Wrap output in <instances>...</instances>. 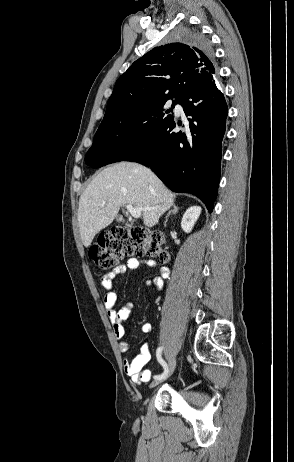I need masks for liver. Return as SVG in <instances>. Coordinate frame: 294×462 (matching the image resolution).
Returning <instances> with one entry per match:
<instances>
[{
	"instance_id": "liver-1",
	"label": "liver",
	"mask_w": 294,
	"mask_h": 462,
	"mask_svg": "<svg viewBox=\"0 0 294 462\" xmlns=\"http://www.w3.org/2000/svg\"><path fill=\"white\" fill-rule=\"evenodd\" d=\"M126 204L139 208L144 225L153 227L174 205V194L150 169L137 163L120 162L103 169L79 199L83 245L89 247L95 235L109 226Z\"/></svg>"
}]
</instances>
